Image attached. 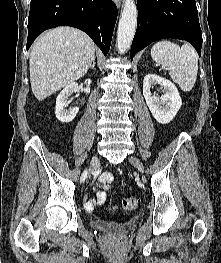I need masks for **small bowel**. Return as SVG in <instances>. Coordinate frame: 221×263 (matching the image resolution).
<instances>
[{"label":"small bowel","instance_id":"1","mask_svg":"<svg viewBox=\"0 0 221 263\" xmlns=\"http://www.w3.org/2000/svg\"><path fill=\"white\" fill-rule=\"evenodd\" d=\"M114 176L110 172L102 173L94 186L95 197H85L84 207L86 211L92 212L97 206L103 205L107 200V191L110 190Z\"/></svg>","mask_w":221,"mask_h":263}]
</instances>
